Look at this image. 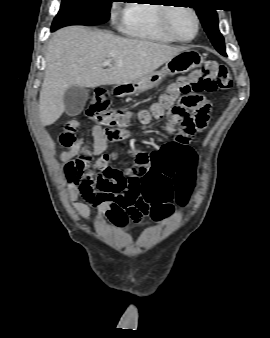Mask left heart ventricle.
<instances>
[{"label":"left heart ventricle","instance_id":"b2bd125f","mask_svg":"<svg viewBox=\"0 0 270 338\" xmlns=\"http://www.w3.org/2000/svg\"><path fill=\"white\" fill-rule=\"evenodd\" d=\"M171 27L177 37L187 39L194 34L195 19L189 11L177 9L171 15Z\"/></svg>","mask_w":270,"mask_h":338}]
</instances>
